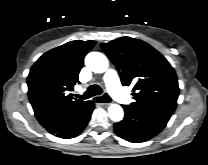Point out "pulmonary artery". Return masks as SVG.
<instances>
[{
    "label": "pulmonary artery",
    "mask_w": 208,
    "mask_h": 165,
    "mask_svg": "<svg viewBox=\"0 0 208 165\" xmlns=\"http://www.w3.org/2000/svg\"><path fill=\"white\" fill-rule=\"evenodd\" d=\"M103 79L109 92L114 98H116L120 102H127L129 100V97L127 96L120 84L119 77L115 70H107L104 74Z\"/></svg>",
    "instance_id": "obj_1"
}]
</instances>
